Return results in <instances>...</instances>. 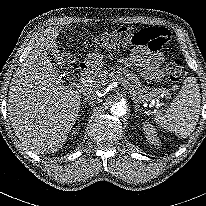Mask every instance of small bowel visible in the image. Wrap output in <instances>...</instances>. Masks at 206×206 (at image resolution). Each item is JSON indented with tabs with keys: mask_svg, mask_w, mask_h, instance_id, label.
Masks as SVG:
<instances>
[{
	"mask_svg": "<svg viewBox=\"0 0 206 206\" xmlns=\"http://www.w3.org/2000/svg\"><path fill=\"white\" fill-rule=\"evenodd\" d=\"M129 66L140 68V73L145 79L158 80L162 76L165 57L161 53L151 52L145 47H137L126 60Z\"/></svg>",
	"mask_w": 206,
	"mask_h": 206,
	"instance_id": "1",
	"label": "small bowel"
}]
</instances>
